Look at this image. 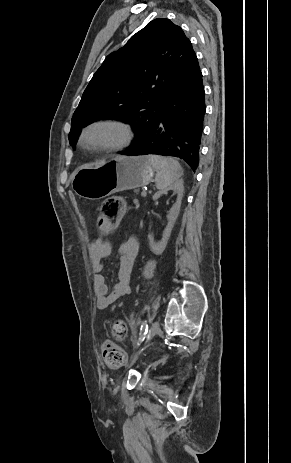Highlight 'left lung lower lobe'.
Returning a JSON list of instances; mask_svg holds the SVG:
<instances>
[{"label": "left lung lower lobe", "instance_id": "0a47b994", "mask_svg": "<svg viewBox=\"0 0 291 463\" xmlns=\"http://www.w3.org/2000/svg\"><path fill=\"white\" fill-rule=\"evenodd\" d=\"M204 94L202 73L198 69L171 92L146 132L121 154L178 157L195 171L199 164L206 111Z\"/></svg>", "mask_w": 291, "mask_h": 463}]
</instances>
